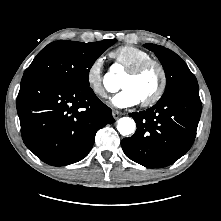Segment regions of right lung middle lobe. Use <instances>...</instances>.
<instances>
[{"instance_id":"right-lung-middle-lobe-1","label":"right lung middle lobe","mask_w":221,"mask_h":221,"mask_svg":"<svg viewBox=\"0 0 221 221\" xmlns=\"http://www.w3.org/2000/svg\"><path fill=\"white\" fill-rule=\"evenodd\" d=\"M116 39L82 43L59 40L48 44L34 58L23 77L46 76L89 86V71L96 59Z\"/></svg>"}]
</instances>
